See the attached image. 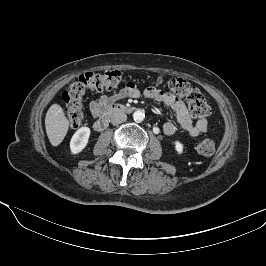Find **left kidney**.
<instances>
[{
	"instance_id": "left-kidney-1",
	"label": "left kidney",
	"mask_w": 266,
	"mask_h": 266,
	"mask_svg": "<svg viewBox=\"0 0 266 266\" xmlns=\"http://www.w3.org/2000/svg\"><path fill=\"white\" fill-rule=\"evenodd\" d=\"M175 150L178 154H181L183 152V144L179 141L174 142Z\"/></svg>"
}]
</instances>
